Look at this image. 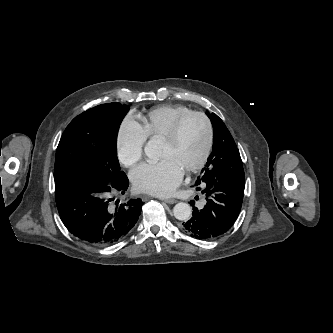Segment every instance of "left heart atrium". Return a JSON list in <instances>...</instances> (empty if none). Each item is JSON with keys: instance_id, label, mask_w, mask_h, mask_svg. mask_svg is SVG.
Wrapping results in <instances>:
<instances>
[{"instance_id": "obj_1", "label": "left heart atrium", "mask_w": 333, "mask_h": 333, "mask_svg": "<svg viewBox=\"0 0 333 333\" xmlns=\"http://www.w3.org/2000/svg\"><path fill=\"white\" fill-rule=\"evenodd\" d=\"M130 178L140 192L167 196L181 183L183 169L172 158H164L157 162L142 163L131 171Z\"/></svg>"}]
</instances>
